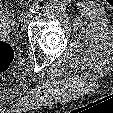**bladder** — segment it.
Instances as JSON below:
<instances>
[{"mask_svg":"<svg viewBox=\"0 0 113 113\" xmlns=\"http://www.w3.org/2000/svg\"><path fill=\"white\" fill-rule=\"evenodd\" d=\"M12 30V21L0 15V37L8 35Z\"/></svg>","mask_w":113,"mask_h":113,"instance_id":"bladder-1","label":"bladder"}]
</instances>
